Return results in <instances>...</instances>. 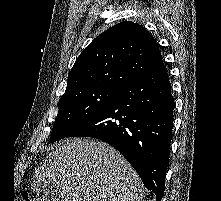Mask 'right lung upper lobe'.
<instances>
[{
  "mask_svg": "<svg viewBox=\"0 0 221 201\" xmlns=\"http://www.w3.org/2000/svg\"><path fill=\"white\" fill-rule=\"evenodd\" d=\"M163 63L153 36L124 21L96 37L77 58L64 94L92 87L119 90Z\"/></svg>",
  "mask_w": 221,
  "mask_h": 201,
  "instance_id": "cb5924a9",
  "label": "right lung upper lobe"
}]
</instances>
